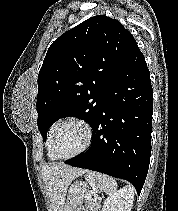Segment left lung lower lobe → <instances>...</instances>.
I'll use <instances>...</instances> for the list:
<instances>
[{
  "label": "left lung lower lobe",
  "instance_id": "0a47b994",
  "mask_svg": "<svg viewBox=\"0 0 178 211\" xmlns=\"http://www.w3.org/2000/svg\"><path fill=\"white\" fill-rule=\"evenodd\" d=\"M152 114L150 73L137 46L104 95L90 148L65 163L126 179L139 194L150 162Z\"/></svg>",
  "mask_w": 178,
  "mask_h": 211
}]
</instances>
